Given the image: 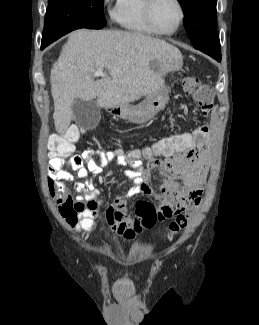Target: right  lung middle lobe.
Instances as JSON below:
<instances>
[{
    "label": "right lung middle lobe",
    "instance_id": "1",
    "mask_svg": "<svg viewBox=\"0 0 259 325\" xmlns=\"http://www.w3.org/2000/svg\"><path fill=\"white\" fill-rule=\"evenodd\" d=\"M105 25L103 0H48L41 45L48 46L75 29Z\"/></svg>",
    "mask_w": 259,
    "mask_h": 325
}]
</instances>
